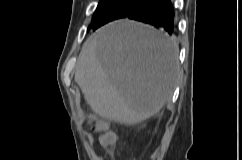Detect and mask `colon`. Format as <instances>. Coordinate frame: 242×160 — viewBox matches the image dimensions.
I'll return each mask as SVG.
<instances>
[{
    "label": "colon",
    "instance_id": "5ec220e1",
    "mask_svg": "<svg viewBox=\"0 0 242 160\" xmlns=\"http://www.w3.org/2000/svg\"><path fill=\"white\" fill-rule=\"evenodd\" d=\"M93 122V130L100 134L99 142L102 146L110 145L113 140L114 136L110 132L107 131V124L103 120H97L95 118H91Z\"/></svg>",
    "mask_w": 242,
    "mask_h": 160
}]
</instances>
